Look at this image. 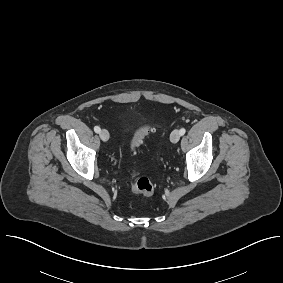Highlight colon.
I'll use <instances>...</instances> for the list:
<instances>
[{
  "label": "colon",
  "mask_w": 283,
  "mask_h": 283,
  "mask_svg": "<svg viewBox=\"0 0 283 283\" xmlns=\"http://www.w3.org/2000/svg\"><path fill=\"white\" fill-rule=\"evenodd\" d=\"M152 131L150 126H145L137 131L132 142L131 147L137 148L142 144L144 138ZM132 190L135 193L142 194L145 197H152L154 195V186L147 177H135L132 181Z\"/></svg>",
  "instance_id": "colon-1"
}]
</instances>
